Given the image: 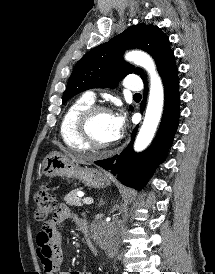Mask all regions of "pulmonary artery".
Returning a JSON list of instances; mask_svg holds the SVG:
<instances>
[{
	"label": "pulmonary artery",
	"mask_w": 215,
	"mask_h": 274,
	"mask_svg": "<svg viewBox=\"0 0 215 274\" xmlns=\"http://www.w3.org/2000/svg\"><path fill=\"white\" fill-rule=\"evenodd\" d=\"M123 85L126 89H128L130 91L138 92L142 89V83H141L140 79L136 76H128L127 78H125ZM85 96H87L92 101H94V99H95V94L91 91L87 92L85 94Z\"/></svg>",
	"instance_id": "obj_1"
}]
</instances>
